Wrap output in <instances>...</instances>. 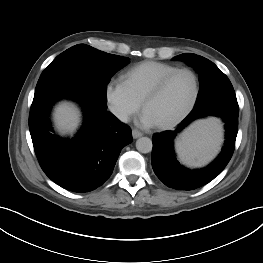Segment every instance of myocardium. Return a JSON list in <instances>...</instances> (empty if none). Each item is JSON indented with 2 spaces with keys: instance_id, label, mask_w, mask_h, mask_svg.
<instances>
[{
  "instance_id": "obj_1",
  "label": "myocardium",
  "mask_w": 263,
  "mask_h": 263,
  "mask_svg": "<svg viewBox=\"0 0 263 263\" xmlns=\"http://www.w3.org/2000/svg\"><path fill=\"white\" fill-rule=\"evenodd\" d=\"M181 73H188L193 77L194 93H193L192 99L190 103L188 104V106L184 109V111L180 115H178L176 118H174L173 120L167 123L157 124V127L161 130H168V129L175 127L176 125L181 123L194 109L198 101L199 95H200V80H199L197 73L190 68H179V69H176L170 72L169 74L165 75L163 78H161L157 82V84L147 93V95L144 97L142 101V107L145 110L147 104L151 102L153 99L157 98L162 93V91L165 89L167 84L176 75L181 74Z\"/></svg>"
}]
</instances>
